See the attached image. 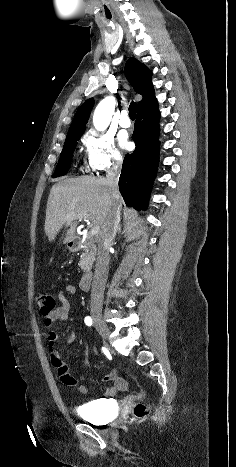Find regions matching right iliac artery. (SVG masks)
Listing matches in <instances>:
<instances>
[{
    "label": "right iliac artery",
    "instance_id": "obj_1",
    "mask_svg": "<svg viewBox=\"0 0 236 467\" xmlns=\"http://www.w3.org/2000/svg\"><path fill=\"white\" fill-rule=\"evenodd\" d=\"M84 322L87 326H92L93 324L92 318L90 316L85 317Z\"/></svg>",
    "mask_w": 236,
    "mask_h": 467
}]
</instances>
